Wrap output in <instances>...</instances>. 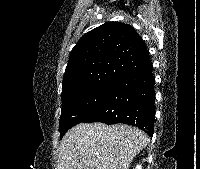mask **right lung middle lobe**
Wrapping results in <instances>:
<instances>
[{
	"label": "right lung middle lobe",
	"instance_id": "dd1d6c3e",
	"mask_svg": "<svg viewBox=\"0 0 200 169\" xmlns=\"http://www.w3.org/2000/svg\"><path fill=\"white\" fill-rule=\"evenodd\" d=\"M117 80L105 79L97 81L71 97L63 99L64 106L60 116V137L76 124L81 123L92 114L107 98Z\"/></svg>",
	"mask_w": 200,
	"mask_h": 169
}]
</instances>
